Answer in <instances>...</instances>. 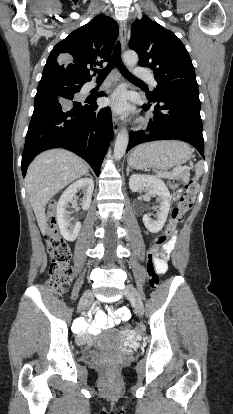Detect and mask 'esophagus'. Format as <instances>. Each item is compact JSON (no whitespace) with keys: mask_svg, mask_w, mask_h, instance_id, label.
Returning <instances> with one entry per match:
<instances>
[{"mask_svg":"<svg viewBox=\"0 0 233 414\" xmlns=\"http://www.w3.org/2000/svg\"><path fill=\"white\" fill-rule=\"evenodd\" d=\"M119 30H120L121 48H122V51H124L126 44H127L126 42L127 25L125 21L120 22ZM113 129H114L115 134H117L120 130V122L116 116L113 117Z\"/></svg>","mask_w":233,"mask_h":414,"instance_id":"34e87169","label":"esophagus"}]
</instances>
